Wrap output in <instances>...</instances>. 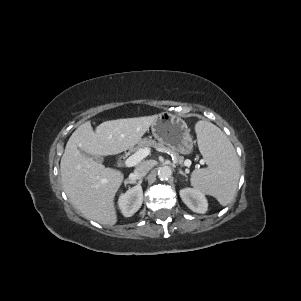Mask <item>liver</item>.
<instances>
[{
    "instance_id": "obj_1",
    "label": "liver",
    "mask_w": 301,
    "mask_h": 301,
    "mask_svg": "<svg viewBox=\"0 0 301 301\" xmlns=\"http://www.w3.org/2000/svg\"><path fill=\"white\" fill-rule=\"evenodd\" d=\"M157 119V115L105 121L94 131L90 122L80 125L69 138L61 158V183L71 203L88 219L114 225L115 195L124 175L84 156L116 155L133 148Z\"/></svg>"
}]
</instances>
